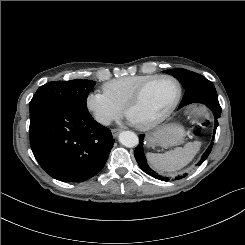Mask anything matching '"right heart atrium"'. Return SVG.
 I'll return each mask as SVG.
<instances>
[{
    "label": "right heart atrium",
    "instance_id": "d8ad5b80",
    "mask_svg": "<svg viewBox=\"0 0 245 245\" xmlns=\"http://www.w3.org/2000/svg\"><path fill=\"white\" fill-rule=\"evenodd\" d=\"M85 108L93 119L102 126H109L118 120L123 108L113 102L105 93L89 92L85 97Z\"/></svg>",
    "mask_w": 245,
    "mask_h": 245
}]
</instances>
